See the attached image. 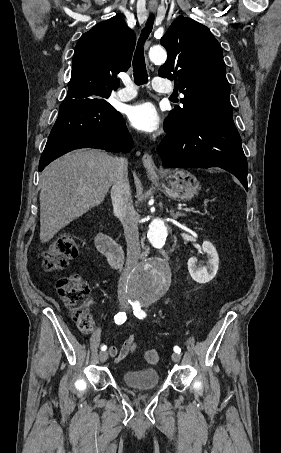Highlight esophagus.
I'll return each instance as SVG.
<instances>
[{
	"label": "esophagus",
	"mask_w": 281,
	"mask_h": 453,
	"mask_svg": "<svg viewBox=\"0 0 281 453\" xmlns=\"http://www.w3.org/2000/svg\"><path fill=\"white\" fill-rule=\"evenodd\" d=\"M151 12L154 13L155 10H151ZM142 162H143V165H144L148 175H156L157 174V171H158L157 167H156L154 161L152 160V157L148 153H144V155L142 157Z\"/></svg>",
	"instance_id": "34e87169"
}]
</instances>
